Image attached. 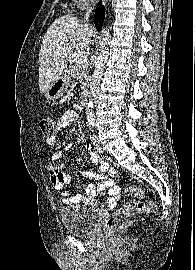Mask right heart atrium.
Listing matches in <instances>:
<instances>
[{"label": "right heart atrium", "instance_id": "d8ad5b80", "mask_svg": "<svg viewBox=\"0 0 195 270\" xmlns=\"http://www.w3.org/2000/svg\"><path fill=\"white\" fill-rule=\"evenodd\" d=\"M77 2L84 4V3L88 2V0H77Z\"/></svg>", "mask_w": 195, "mask_h": 270}]
</instances>
